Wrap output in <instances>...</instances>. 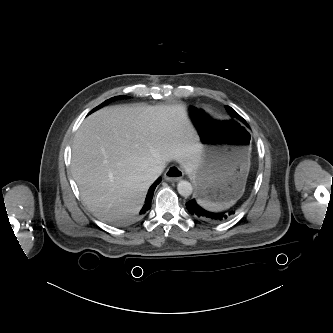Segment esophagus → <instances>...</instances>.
<instances>
[{"label": "esophagus", "instance_id": "34e87169", "mask_svg": "<svg viewBox=\"0 0 333 333\" xmlns=\"http://www.w3.org/2000/svg\"><path fill=\"white\" fill-rule=\"evenodd\" d=\"M184 175V172L182 169L178 168V167H170L167 169V171L165 172L164 178L166 181H178L179 179L182 178V176Z\"/></svg>", "mask_w": 333, "mask_h": 333}]
</instances>
